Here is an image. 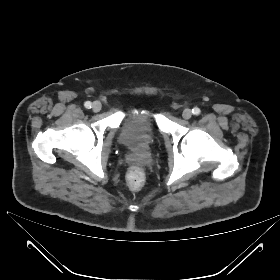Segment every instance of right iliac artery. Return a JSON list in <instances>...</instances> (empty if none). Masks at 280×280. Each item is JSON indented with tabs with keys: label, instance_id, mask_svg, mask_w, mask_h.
Here are the masks:
<instances>
[{
	"label": "right iliac artery",
	"instance_id": "obj_1",
	"mask_svg": "<svg viewBox=\"0 0 280 280\" xmlns=\"http://www.w3.org/2000/svg\"><path fill=\"white\" fill-rule=\"evenodd\" d=\"M84 106H85L86 108L90 109L91 106H92V103H91L90 101H87V102H85Z\"/></svg>",
	"mask_w": 280,
	"mask_h": 280
}]
</instances>
